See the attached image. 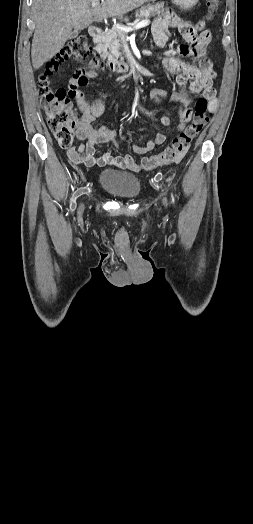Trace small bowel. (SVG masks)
<instances>
[{
    "label": "small bowel",
    "instance_id": "1",
    "mask_svg": "<svg viewBox=\"0 0 253 524\" xmlns=\"http://www.w3.org/2000/svg\"><path fill=\"white\" fill-rule=\"evenodd\" d=\"M169 26L177 27L182 34V42L184 44L179 47L177 53L189 62H197L200 59L199 65L185 63L174 56H167L159 62L160 58L157 57L156 62L151 64L153 70L165 67L169 73L177 76V82L182 89L170 92L163 88H153L149 92V98L157 102L170 96L174 101L180 103L181 107L177 114L178 124L176 128L177 130H183L191 118L189 109L190 92H200L203 98L211 102L215 99L213 86L215 73L212 62L206 56L200 58L198 53L208 49L212 42V34L210 29H203L204 24L202 21L192 24L184 19L172 21L160 19L154 23L151 33L152 43L160 50L165 48L170 37ZM158 74H162V71H158ZM76 102L80 111V127L76 131V135L78 139L85 142L80 145L78 150L74 148L67 150L69 161L73 164H84L86 166H112L134 172L139 171L141 166L131 155L113 156L109 151L95 153V144L112 143L116 145L119 138L114 130L96 125V118L104 112V102L101 99H96L92 103H88L85 101L82 93L76 97ZM161 123L168 126L169 119L162 117ZM166 136L167 134L164 131H160L144 145H134L133 150L137 154H145L162 144Z\"/></svg>",
    "mask_w": 253,
    "mask_h": 524
}]
</instances>
